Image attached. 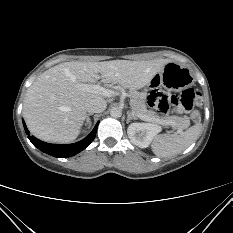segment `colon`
<instances>
[{"label":"colon","mask_w":233,"mask_h":233,"mask_svg":"<svg viewBox=\"0 0 233 233\" xmlns=\"http://www.w3.org/2000/svg\"><path fill=\"white\" fill-rule=\"evenodd\" d=\"M201 98V93L192 88L184 90L180 96L153 90L149 95L148 104L161 114H167L170 111H187L190 113L191 120L198 122L200 120V114L193 108L195 104L201 102Z\"/></svg>","instance_id":"1"}]
</instances>
